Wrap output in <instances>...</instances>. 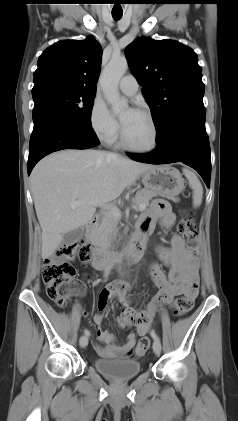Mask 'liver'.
I'll return each mask as SVG.
<instances>
[{"instance_id": "6515ba94", "label": "liver", "mask_w": 238, "mask_h": 421, "mask_svg": "<svg viewBox=\"0 0 238 421\" xmlns=\"http://www.w3.org/2000/svg\"><path fill=\"white\" fill-rule=\"evenodd\" d=\"M152 167L98 150H63L42 159L31 173V192L42 229V258L63 236L94 216L93 201L115 200ZM84 202L72 209L70 203Z\"/></svg>"}]
</instances>
